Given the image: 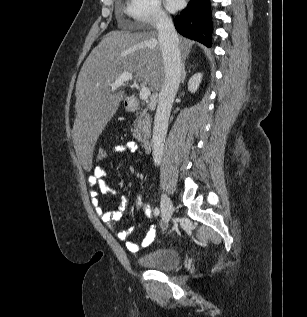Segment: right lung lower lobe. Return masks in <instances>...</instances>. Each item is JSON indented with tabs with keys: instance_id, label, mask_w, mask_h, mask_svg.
Masks as SVG:
<instances>
[{
	"instance_id": "1",
	"label": "right lung lower lobe",
	"mask_w": 307,
	"mask_h": 317,
	"mask_svg": "<svg viewBox=\"0 0 307 317\" xmlns=\"http://www.w3.org/2000/svg\"><path fill=\"white\" fill-rule=\"evenodd\" d=\"M176 30L185 37L211 46L212 20L209 0H191L175 17Z\"/></svg>"
}]
</instances>
